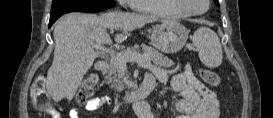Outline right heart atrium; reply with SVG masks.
I'll return each mask as SVG.
<instances>
[{
    "label": "right heart atrium",
    "instance_id": "1",
    "mask_svg": "<svg viewBox=\"0 0 273 118\" xmlns=\"http://www.w3.org/2000/svg\"><path fill=\"white\" fill-rule=\"evenodd\" d=\"M120 3L123 5V6H128L131 4V1L130 0H120Z\"/></svg>",
    "mask_w": 273,
    "mask_h": 118
}]
</instances>
